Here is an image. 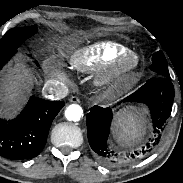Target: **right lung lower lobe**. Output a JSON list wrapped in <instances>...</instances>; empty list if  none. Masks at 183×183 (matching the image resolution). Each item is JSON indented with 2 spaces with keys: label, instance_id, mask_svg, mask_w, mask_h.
<instances>
[{
  "label": "right lung lower lobe",
  "instance_id": "1",
  "mask_svg": "<svg viewBox=\"0 0 183 183\" xmlns=\"http://www.w3.org/2000/svg\"><path fill=\"white\" fill-rule=\"evenodd\" d=\"M15 53L0 57V70ZM63 106V101L50 102L31 96L15 119L0 118V156L11 160L36 157L46 143L53 119Z\"/></svg>",
  "mask_w": 183,
  "mask_h": 183
}]
</instances>
